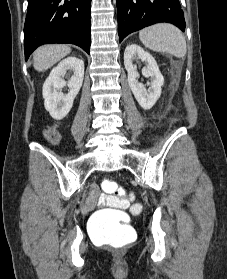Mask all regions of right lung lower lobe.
I'll return each instance as SVG.
<instances>
[{
    "label": "right lung lower lobe",
    "instance_id": "obj_1",
    "mask_svg": "<svg viewBox=\"0 0 227 279\" xmlns=\"http://www.w3.org/2000/svg\"><path fill=\"white\" fill-rule=\"evenodd\" d=\"M91 0H28L25 59L40 45L75 44L90 53Z\"/></svg>",
    "mask_w": 227,
    "mask_h": 279
}]
</instances>
